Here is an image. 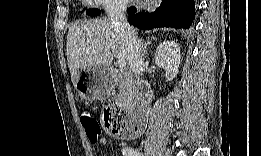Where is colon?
<instances>
[{
  "instance_id": "1",
  "label": "colon",
  "mask_w": 261,
  "mask_h": 156,
  "mask_svg": "<svg viewBox=\"0 0 261 156\" xmlns=\"http://www.w3.org/2000/svg\"><path fill=\"white\" fill-rule=\"evenodd\" d=\"M81 124L86 136L91 143H96L101 130L109 135L120 138H131L141 134L142 129L127 125L123 112L115 106H106L101 116V124L89 112H83L80 116Z\"/></svg>"
}]
</instances>
